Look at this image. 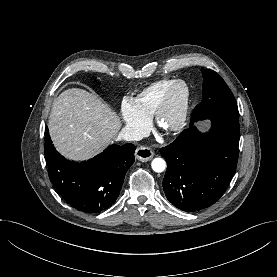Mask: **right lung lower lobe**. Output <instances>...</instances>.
I'll return each mask as SVG.
<instances>
[{
    "label": "right lung lower lobe",
    "instance_id": "right-lung-lower-lobe-1",
    "mask_svg": "<svg viewBox=\"0 0 277 277\" xmlns=\"http://www.w3.org/2000/svg\"><path fill=\"white\" fill-rule=\"evenodd\" d=\"M133 144L111 145L88 161L66 160L45 130V158L49 178L63 199L85 213H100L119 196L125 174L134 162Z\"/></svg>",
    "mask_w": 277,
    "mask_h": 277
}]
</instances>
